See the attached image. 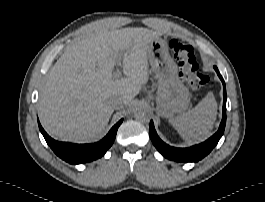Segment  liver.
I'll use <instances>...</instances> for the list:
<instances>
[{"mask_svg": "<svg viewBox=\"0 0 265 202\" xmlns=\"http://www.w3.org/2000/svg\"><path fill=\"white\" fill-rule=\"evenodd\" d=\"M160 35L142 27L109 31L98 26L78 38L51 68L40 93L38 114L46 132L80 143L99 137L114 111L108 99L119 95L128 105L148 82L147 48ZM120 53L126 77L116 79Z\"/></svg>", "mask_w": 265, "mask_h": 202, "instance_id": "liver-1", "label": "liver"}]
</instances>
